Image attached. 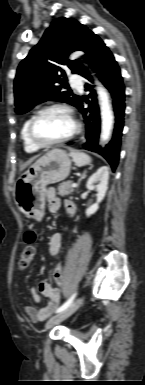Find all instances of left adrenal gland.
Returning <instances> with one entry per match:
<instances>
[{"instance_id":"a2214340","label":"left adrenal gland","mask_w":145,"mask_h":385,"mask_svg":"<svg viewBox=\"0 0 145 385\" xmlns=\"http://www.w3.org/2000/svg\"><path fill=\"white\" fill-rule=\"evenodd\" d=\"M86 173H87V171L85 170L84 173H83V175H82V177L80 178V180H82L83 178H85Z\"/></svg>"}]
</instances>
